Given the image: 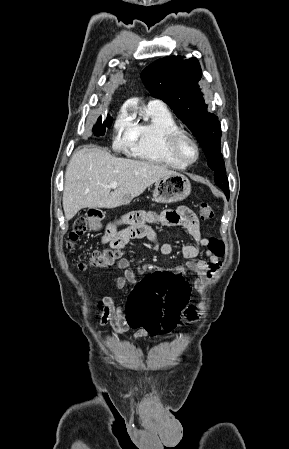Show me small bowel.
I'll return each mask as SVG.
<instances>
[{
  "label": "small bowel",
  "instance_id": "obj_1",
  "mask_svg": "<svg viewBox=\"0 0 289 449\" xmlns=\"http://www.w3.org/2000/svg\"><path fill=\"white\" fill-rule=\"evenodd\" d=\"M122 224H127V227L121 229L120 226ZM152 224H162L165 226L181 225L187 230L192 238V242L182 247V255L188 261L184 265L175 266L172 271H176L178 276L182 278L187 273L194 275V286L197 289H202L218 271L221 262L220 257L214 255L209 250V240L201 236L198 218L187 207H179L175 210H166L161 213L151 211L133 213L123 220L111 223L105 230L101 241L103 244H109L110 247L120 250L132 239L147 238L152 243L155 251L162 255H170L173 251V246L170 243H159L157 234L151 227ZM201 249L205 250L207 260H195ZM115 268L124 271V275L117 277L114 281L115 287L118 290L124 289L127 284H135L140 275L154 270L153 265L144 264L134 272L130 268V263L126 258H120ZM200 308L201 305L186 307L183 312L184 321L187 323L197 321L200 316ZM99 323L100 325L110 324L118 333L127 332L132 328L121 307L109 296L103 299V310ZM148 335L146 330L140 328L136 330L133 338L138 339L147 337Z\"/></svg>",
  "mask_w": 289,
  "mask_h": 449
}]
</instances>
